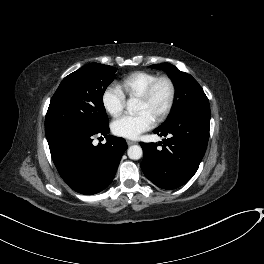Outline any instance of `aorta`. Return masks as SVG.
Segmentation results:
<instances>
[{"instance_id":"obj_1","label":"aorta","mask_w":264,"mask_h":264,"mask_svg":"<svg viewBox=\"0 0 264 264\" xmlns=\"http://www.w3.org/2000/svg\"><path fill=\"white\" fill-rule=\"evenodd\" d=\"M127 110L130 114L137 111V102L135 99H129L127 102ZM128 157L133 160H138L142 157V148L138 145H132L127 151Z\"/></svg>"}]
</instances>
